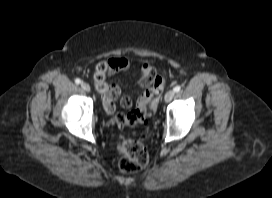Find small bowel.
<instances>
[{"label": "small bowel", "instance_id": "1", "mask_svg": "<svg viewBox=\"0 0 272 198\" xmlns=\"http://www.w3.org/2000/svg\"><path fill=\"white\" fill-rule=\"evenodd\" d=\"M111 66V72H123L128 69L129 62L124 58H114L109 62ZM141 79L139 85L144 88V91L140 95L139 100H144L146 98L150 99V102L153 100L154 96L157 95L163 87V80L156 76L153 67L147 61H141L139 65ZM161 79V84L153 83L150 87H144L141 85V82L145 79ZM120 88L116 85L111 87V90L103 95V104L107 113L111 114L115 110V103L120 97ZM132 97L130 95H125L120 98V104L124 108H130L132 106Z\"/></svg>", "mask_w": 272, "mask_h": 198}]
</instances>
